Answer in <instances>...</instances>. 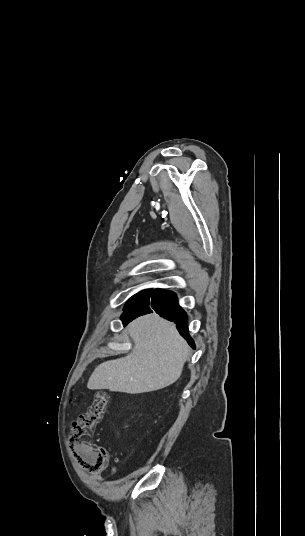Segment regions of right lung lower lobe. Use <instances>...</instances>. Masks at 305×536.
<instances>
[{
	"label": "right lung lower lobe",
	"mask_w": 305,
	"mask_h": 536,
	"mask_svg": "<svg viewBox=\"0 0 305 536\" xmlns=\"http://www.w3.org/2000/svg\"><path fill=\"white\" fill-rule=\"evenodd\" d=\"M153 310L166 319L175 322L180 334L188 341L192 348H195V344L188 334L187 314L179 307L177 297L171 291L162 289L151 290L147 295L124 310L121 320L126 325L138 316L152 313Z\"/></svg>",
	"instance_id": "obj_1"
}]
</instances>
